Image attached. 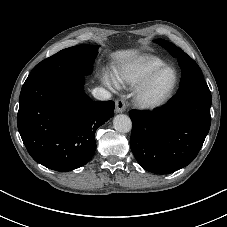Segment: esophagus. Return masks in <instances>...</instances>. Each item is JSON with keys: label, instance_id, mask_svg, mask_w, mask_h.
<instances>
[{"label": "esophagus", "instance_id": "esophagus-1", "mask_svg": "<svg viewBox=\"0 0 227 227\" xmlns=\"http://www.w3.org/2000/svg\"><path fill=\"white\" fill-rule=\"evenodd\" d=\"M126 110L125 102L121 99H118L115 103V111L117 113L124 112Z\"/></svg>", "mask_w": 227, "mask_h": 227}]
</instances>
